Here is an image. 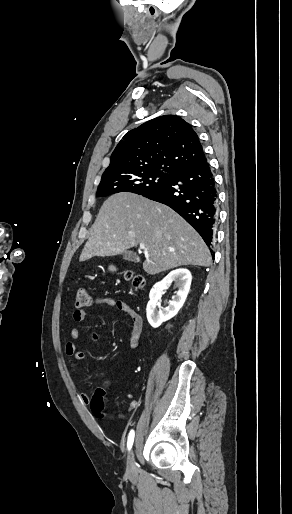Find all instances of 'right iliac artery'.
Masks as SVG:
<instances>
[{
  "label": "right iliac artery",
  "instance_id": "obj_1",
  "mask_svg": "<svg viewBox=\"0 0 292 514\" xmlns=\"http://www.w3.org/2000/svg\"><path fill=\"white\" fill-rule=\"evenodd\" d=\"M133 441H134V430H131L129 435H128V440H127V448H128V450L131 449V447L133 445Z\"/></svg>",
  "mask_w": 292,
  "mask_h": 514
}]
</instances>
